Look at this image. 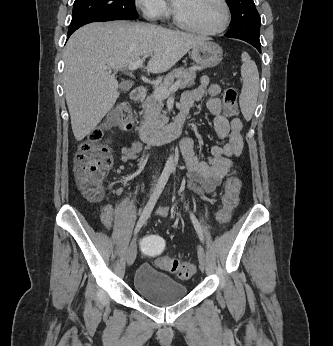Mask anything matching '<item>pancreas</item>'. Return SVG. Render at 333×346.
<instances>
[{"instance_id": "cf45deb5", "label": "pancreas", "mask_w": 333, "mask_h": 346, "mask_svg": "<svg viewBox=\"0 0 333 346\" xmlns=\"http://www.w3.org/2000/svg\"><path fill=\"white\" fill-rule=\"evenodd\" d=\"M175 78L180 83V88L191 87L195 83L196 73L193 69L178 68L168 73L159 83V87L169 88ZM163 99L158 98L155 93L148 96L142 102V127L148 130H157L168 122L166 112L163 110Z\"/></svg>"}]
</instances>
